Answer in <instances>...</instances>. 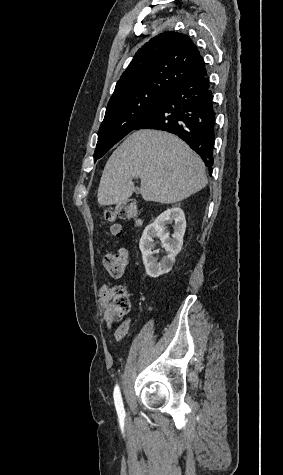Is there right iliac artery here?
Returning <instances> with one entry per match:
<instances>
[{"instance_id":"1","label":"right iliac artery","mask_w":283,"mask_h":475,"mask_svg":"<svg viewBox=\"0 0 283 475\" xmlns=\"http://www.w3.org/2000/svg\"><path fill=\"white\" fill-rule=\"evenodd\" d=\"M114 402L118 416L125 417V410L123 407L122 397L118 386H116L114 389Z\"/></svg>"}]
</instances>
